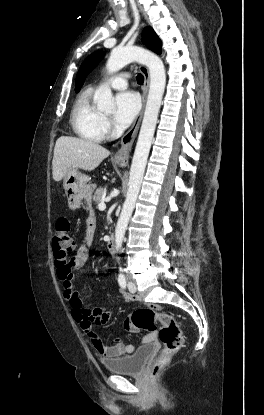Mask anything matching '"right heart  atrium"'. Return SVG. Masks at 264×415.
I'll return each instance as SVG.
<instances>
[{"label":"right heart atrium","mask_w":264,"mask_h":415,"mask_svg":"<svg viewBox=\"0 0 264 415\" xmlns=\"http://www.w3.org/2000/svg\"><path fill=\"white\" fill-rule=\"evenodd\" d=\"M103 125H104V129L107 133H112L113 132V126L110 123V121L108 119L103 120Z\"/></svg>","instance_id":"right-heart-atrium-1"}]
</instances>
